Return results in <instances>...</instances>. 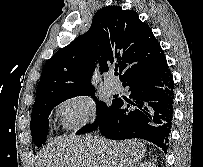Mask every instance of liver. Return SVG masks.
Segmentation results:
<instances>
[{
	"mask_svg": "<svg viewBox=\"0 0 203 167\" xmlns=\"http://www.w3.org/2000/svg\"><path fill=\"white\" fill-rule=\"evenodd\" d=\"M139 140L112 141L87 135L55 139L40 153L35 167H134L145 157Z\"/></svg>",
	"mask_w": 203,
	"mask_h": 167,
	"instance_id": "6515ba94",
	"label": "liver"
}]
</instances>
